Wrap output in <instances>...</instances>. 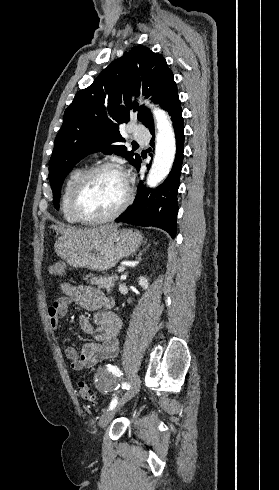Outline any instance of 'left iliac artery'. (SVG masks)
I'll return each mask as SVG.
<instances>
[{
    "mask_svg": "<svg viewBox=\"0 0 279 490\" xmlns=\"http://www.w3.org/2000/svg\"><path fill=\"white\" fill-rule=\"evenodd\" d=\"M108 368H109V370H110V371H112V372H113L115 375H121V374H122V373H121V371H120V370L117 368V366L108 365ZM127 386H128V390H129V387H130V386H129V385H127ZM117 403H118V400H117V397L115 396V397L112 399L111 403H110L109 410H113V409L116 407Z\"/></svg>",
    "mask_w": 279,
    "mask_h": 490,
    "instance_id": "1",
    "label": "left iliac artery"
}]
</instances>
